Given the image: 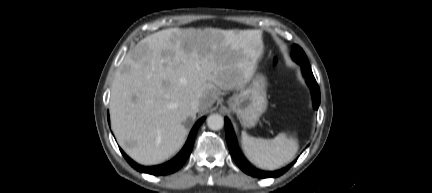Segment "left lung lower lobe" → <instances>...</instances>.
<instances>
[{"mask_svg":"<svg viewBox=\"0 0 432 193\" xmlns=\"http://www.w3.org/2000/svg\"><path fill=\"white\" fill-rule=\"evenodd\" d=\"M302 67V73L306 79V82L308 84V86L311 89V93H312V97L314 100V106L316 109H318L319 104H320V90H319V86L313 76V73L311 71L310 65L309 64H300ZM225 134H226V140L228 143V147L230 150V153L233 157V159L235 160V162L237 163V165L247 174L254 176V177H259V178H266V177H278L280 175H282L283 173H285L292 165L293 163H291L290 165H288L287 167L278 170V171H274V172H266V171H261V170H257L253 167H250L245 161L244 159L241 157L236 142H235V138H234V134L232 131V127L230 125V122L228 121L227 118H225Z\"/></svg>","mask_w":432,"mask_h":193,"instance_id":"obj_1","label":"left lung lower lobe"}]
</instances>
